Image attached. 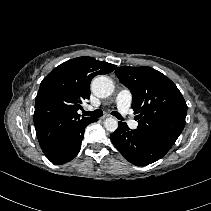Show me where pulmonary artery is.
Wrapping results in <instances>:
<instances>
[{
    "instance_id": "pulmonary-artery-1",
    "label": "pulmonary artery",
    "mask_w": 211,
    "mask_h": 211,
    "mask_svg": "<svg viewBox=\"0 0 211 211\" xmlns=\"http://www.w3.org/2000/svg\"><path fill=\"white\" fill-rule=\"evenodd\" d=\"M131 101L132 94L128 89L120 90L115 97V105L124 117H127L130 113ZM128 124L133 129L138 127V123L132 119L128 120Z\"/></svg>"
}]
</instances>
